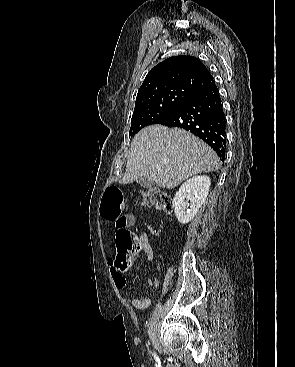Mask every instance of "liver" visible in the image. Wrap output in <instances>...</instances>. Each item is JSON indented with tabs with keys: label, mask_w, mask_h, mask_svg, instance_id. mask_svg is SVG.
Here are the masks:
<instances>
[{
	"label": "liver",
	"mask_w": 295,
	"mask_h": 367,
	"mask_svg": "<svg viewBox=\"0 0 295 367\" xmlns=\"http://www.w3.org/2000/svg\"><path fill=\"white\" fill-rule=\"evenodd\" d=\"M219 167L215 151L191 133L151 125L133 138L121 183L144 177L161 188L173 189L193 175Z\"/></svg>",
	"instance_id": "obj_1"
}]
</instances>
